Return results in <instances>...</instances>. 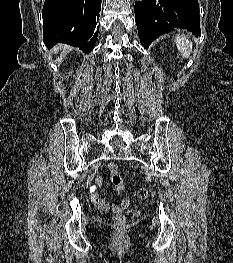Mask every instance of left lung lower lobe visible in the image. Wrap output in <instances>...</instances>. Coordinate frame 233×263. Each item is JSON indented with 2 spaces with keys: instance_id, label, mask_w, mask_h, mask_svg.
Masks as SVG:
<instances>
[{
  "instance_id": "0a47b994",
  "label": "left lung lower lobe",
  "mask_w": 233,
  "mask_h": 263,
  "mask_svg": "<svg viewBox=\"0 0 233 263\" xmlns=\"http://www.w3.org/2000/svg\"><path fill=\"white\" fill-rule=\"evenodd\" d=\"M135 21L144 48L175 28L200 34L198 0H143L135 3Z\"/></svg>"
}]
</instances>
